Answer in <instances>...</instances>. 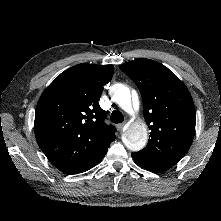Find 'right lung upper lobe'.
<instances>
[{
	"mask_svg": "<svg viewBox=\"0 0 221 221\" xmlns=\"http://www.w3.org/2000/svg\"><path fill=\"white\" fill-rule=\"evenodd\" d=\"M112 65L78 64L61 73L41 95L35 112V136L49 161L66 174L97 165L115 140L98 103L112 79Z\"/></svg>",
	"mask_w": 221,
	"mask_h": 221,
	"instance_id": "1",
	"label": "right lung upper lobe"
}]
</instances>
